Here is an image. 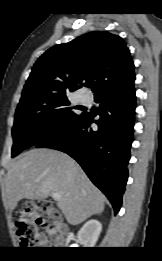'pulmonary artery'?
<instances>
[{
	"instance_id": "e3ab8cb5",
	"label": "pulmonary artery",
	"mask_w": 162,
	"mask_h": 261,
	"mask_svg": "<svg viewBox=\"0 0 162 261\" xmlns=\"http://www.w3.org/2000/svg\"><path fill=\"white\" fill-rule=\"evenodd\" d=\"M82 101H83L84 103H89V102L91 101L90 95H88V94L83 95V96H82Z\"/></svg>"
}]
</instances>
